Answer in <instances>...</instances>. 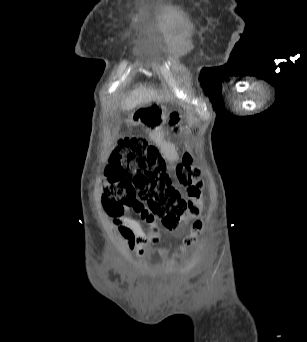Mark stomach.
I'll return each mask as SVG.
<instances>
[{"label":"stomach","mask_w":307,"mask_h":342,"mask_svg":"<svg viewBox=\"0 0 307 342\" xmlns=\"http://www.w3.org/2000/svg\"><path fill=\"white\" fill-rule=\"evenodd\" d=\"M167 112L165 107H147L134 111L131 115L130 122L133 125L146 124L150 127H159L166 123Z\"/></svg>","instance_id":"0dacf381"}]
</instances>
